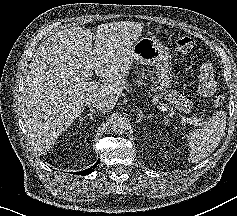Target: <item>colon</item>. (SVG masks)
<instances>
[{
	"label": "colon",
	"mask_w": 237,
	"mask_h": 216,
	"mask_svg": "<svg viewBox=\"0 0 237 216\" xmlns=\"http://www.w3.org/2000/svg\"><path fill=\"white\" fill-rule=\"evenodd\" d=\"M175 47L182 53H189L194 47V40L189 36H179L175 40ZM225 101V96L222 93H217L214 97V103L218 106Z\"/></svg>",
	"instance_id": "1"
}]
</instances>
